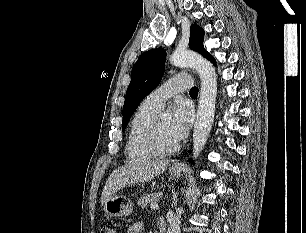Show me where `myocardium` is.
<instances>
[{
	"mask_svg": "<svg viewBox=\"0 0 306 233\" xmlns=\"http://www.w3.org/2000/svg\"><path fill=\"white\" fill-rule=\"evenodd\" d=\"M158 119L156 116L149 124L147 132H146V144L156 155H171L176 153L179 150V144H176L172 147L166 148L164 147L159 139L158 134Z\"/></svg>",
	"mask_w": 306,
	"mask_h": 233,
	"instance_id": "f54148a6",
	"label": "myocardium"
}]
</instances>
